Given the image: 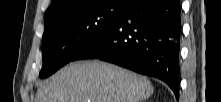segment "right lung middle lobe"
Listing matches in <instances>:
<instances>
[{"instance_id":"dd1d6c3e","label":"right lung middle lobe","mask_w":221,"mask_h":102,"mask_svg":"<svg viewBox=\"0 0 221 102\" xmlns=\"http://www.w3.org/2000/svg\"><path fill=\"white\" fill-rule=\"evenodd\" d=\"M130 0H84L45 20L43 66L48 77L112 27L127 11Z\"/></svg>"}]
</instances>
